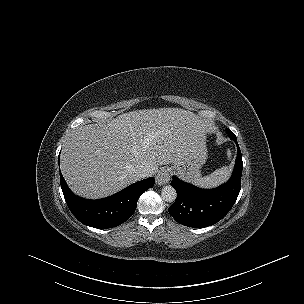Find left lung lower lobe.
Masks as SVG:
<instances>
[{
  "instance_id": "obj_1",
  "label": "left lung lower lobe",
  "mask_w": 304,
  "mask_h": 304,
  "mask_svg": "<svg viewBox=\"0 0 304 304\" xmlns=\"http://www.w3.org/2000/svg\"><path fill=\"white\" fill-rule=\"evenodd\" d=\"M237 158L229 181L214 189H201L185 183L176 176L171 186L177 192L175 203L169 207L170 215L180 224L201 228L220 221L233 207L241 189L243 162L236 138Z\"/></svg>"
}]
</instances>
